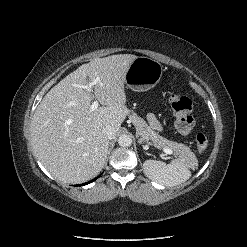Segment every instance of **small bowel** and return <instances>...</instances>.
I'll return each mask as SVG.
<instances>
[{
	"instance_id": "obj_1",
	"label": "small bowel",
	"mask_w": 247,
	"mask_h": 247,
	"mask_svg": "<svg viewBox=\"0 0 247 247\" xmlns=\"http://www.w3.org/2000/svg\"><path fill=\"white\" fill-rule=\"evenodd\" d=\"M149 120H150V123L154 127H157V128L160 127V124H159L158 120L154 116H151Z\"/></svg>"
}]
</instances>
